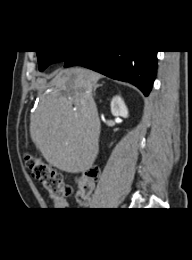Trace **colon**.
<instances>
[{
  "instance_id": "obj_1",
  "label": "colon",
  "mask_w": 192,
  "mask_h": 260,
  "mask_svg": "<svg viewBox=\"0 0 192 260\" xmlns=\"http://www.w3.org/2000/svg\"><path fill=\"white\" fill-rule=\"evenodd\" d=\"M25 163L32 176L42 184L52 200H63L71 194V187L64 181L63 176L40 157L34 154H27ZM98 177L99 170L92 168L78 178L76 202L79 205H86L89 202V196Z\"/></svg>"
}]
</instances>
